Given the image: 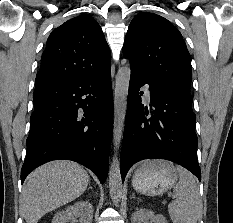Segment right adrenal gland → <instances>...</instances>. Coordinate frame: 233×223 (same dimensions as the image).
I'll list each match as a JSON object with an SVG mask.
<instances>
[{"mask_svg":"<svg viewBox=\"0 0 233 223\" xmlns=\"http://www.w3.org/2000/svg\"><path fill=\"white\" fill-rule=\"evenodd\" d=\"M90 183H91V181H89V187H88V189H92ZM92 191H93V189H92Z\"/></svg>","mask_w":233,"mask_h":223,"instance_id":"right-adrenal-gland-1","label":"right adrenal gland"}]
</instances>
